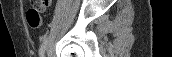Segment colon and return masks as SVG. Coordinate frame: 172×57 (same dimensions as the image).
<instances>
[{
    "instance_id": "5ec220e1",
    "label": "colon",
    "mask_w": 172,
    "mask_h": 57,
    "mask_svg": "<svg viewBox=\"0 0 172 57\" xmlns=\"http://www.w3.org/2000/svg\"><path fill=\"white\" fill-rule=\"evenodd\" d=\"M44 0L32 1L35 5L41 4ZM26 21L30 28L38 29L42 25V18L39 11L35 8H30L26 13Z\"/></svg>"
}]
</instances>
